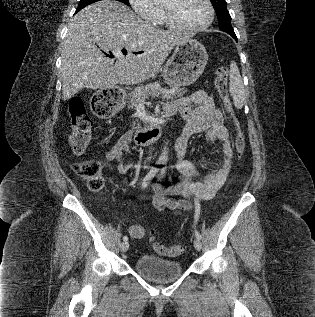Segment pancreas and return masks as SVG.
<instances>
[{"label":"pancreas","mask_w":315,"mask_h":317,"mask_svg":"<svg viewBox=\"0 0 315 317\" xmlns=\"http://www.w3.org/2000/svg\"><path fill=\"white\" fill-rule=\"evenodd\" d=\"M186 89L178 86H171L170 89H161L157 84H149L140 86L130 93L129 107L136 108L138 105L145 103L149 97H161L163 99H173L174 97H181L186 93Z\"/></svg>","instance_id":"cf45deb5"}]
</instances>
